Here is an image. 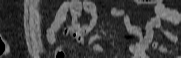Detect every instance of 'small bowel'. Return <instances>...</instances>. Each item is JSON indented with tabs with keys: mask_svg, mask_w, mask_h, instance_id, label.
<instances>
[{
	"mask_svg": "<svg viewBox=\"0 0 181 58\" xmlns=\"http://www.w3.org/2000/svg\"><path fill=\"white\" fill-rule=\"evenodd\" d=\"M83 11L94 15L96 13V7L92 1L88 0L63 1L55 13L53 22L47 30L48 41L50 43H56L58 40V34L61 33L65 36L70 35L84 44L83 38L91 31L92 24L81 26L78 23V18ZM112 13L117 16H124L127 31L139 39L137 43L129 45L126 49V52L132 54V58H151V49L158 50L162 53H174L179 49V47L169 48L154 40L155 30L161 31L162 34L171 42L176 43L179 40L176 34L162 27V22H168L174 25L180 24L181 13L166 6L164 1L157 0L155 2V16L151 17L146 22L144 28L132 25L129 18L125 15V12L121 9L113 8ZM68 15L72 17V24L71 26L61 30ZM89 50L91 52L102 53L103 47L99 44H93L89 47ZM60 53H64V47L62 45H58L56 48V55ZM122 54L123 53L117 54L115 58L120 57ZM178 58H181V56Z\"/></svg>",
	"mask_w": 181,
	"mask_h": 58,
	"instance_id": "small-bowel-1",
	"label": "small bowel"
}]
</instances>
